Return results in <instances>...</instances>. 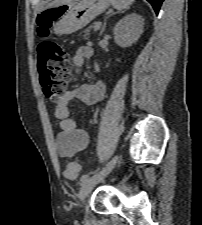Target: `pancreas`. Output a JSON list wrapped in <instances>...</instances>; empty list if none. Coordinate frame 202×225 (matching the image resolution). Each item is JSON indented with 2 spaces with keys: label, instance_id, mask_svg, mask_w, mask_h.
Returning <instances> with one entry per match:
<instances>
[{
  "label": "pancreas",
  "instance_id": "obj_1",
  "mask_svg": "<svg viewBox=\"0 0 202 225\" xmlns=\"http://www.w3.org/2000/svg\"><path fill=\"white\" fill-rule=\"evenodd\" d=\"M94 27H95V25H94V26H90L89 28H87V29L85 30V33H89L90 30H91L92 28H94Z\"/></svg>",
  "mask_w": 202,
  "mask_h": 225
}]
</instances>
